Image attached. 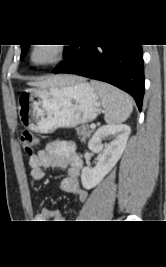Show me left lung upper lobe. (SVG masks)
Returning <instances> with one entry per match:
<instances>
[{
  "mask_svg": "<svg viewBox=\"0 0 166 267\" xmlns=\"http://www.w3.org/2000/svg\"><path fill=\"white\" fill-rule=\"evenodd\" d=\"M22 52H21V58H24L27 54L29 45H21ZM65 51V50H64Z\"/></svg>",
  "mask_w": 166,
  "mask_h": 267,
  "instance_id": "1",
  "label": "left lung upper lobe"
}]
</instances>
